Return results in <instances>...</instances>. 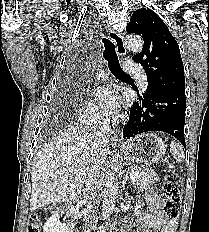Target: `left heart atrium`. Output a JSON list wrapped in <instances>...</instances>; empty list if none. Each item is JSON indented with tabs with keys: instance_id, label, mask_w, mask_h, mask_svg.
I'll list each match as a JSON object with an SVG mask.
<instances>
[{
	"instance_id": "39dd6f15",
	"label": "left heart atrium",
	"mask_w": 209,
	"mask_h": 232,
	"mask_svg": "<svg viewBox=\"0 0 209 232\" xmlns=\"http://www.w3.org/2000/svg\"><path fill=\"white\" fill-rule=\"evenodd\" d=\"M97 103L104 114L113 113L118 107V96L113 87H104L96 94Z\"/></svg>"
}]
</instances>
